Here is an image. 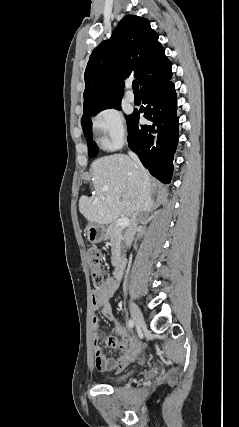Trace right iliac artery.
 <instances>
[{"label": "right iliac artery", "mask_w": 239, "mask_h": 427, "mask_svg": "<svg viewBox=\"0 0 239 427\" xmlns=\"http://www.w3.org/2000/svg\"><path fill=\"white\" fill-rule=\"evenodd\" d=\"M128 326H129L130 328H132V327L134 326V321H133L132 319H130V320L128 321Z\"/></svg>", "instance_id": "right-iliac-artery-1"}]
</instances>
